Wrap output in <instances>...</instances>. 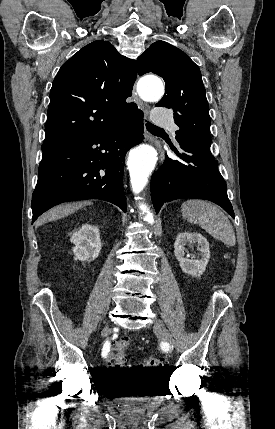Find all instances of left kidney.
Instances as JSON below:
<instances>
[{"instance_id": "1", "label": "left kidney", "mask_w": 275, "mask_h": 429, "mask_svg": "<svg viewBox=\"0 0 275 429\" xmlns=\"http://www.w3.org/2000/svg\"><path fill=\"white\" fill-rule=\"evenodd\" d=\"M197 243L200 251V258H185V246L187 244ZM174 254L179 261L180 267L185 274L193 277H199L203 274L210 259L209 243L199 233L182 232L176 237L174 243Z\"/></svg>"}]
</instances>
